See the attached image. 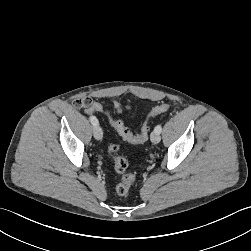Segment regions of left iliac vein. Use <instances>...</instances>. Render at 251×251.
I'll return each instance as SVG.
<instances>
[{
	"mask_svg": "<svg viewBox=\"0 0 251 251\" xmlns=\"http://www.w3.org/2000/svg\"><path fill=\"white\" fill-rule=\"evenodd\" d=\"M161 140V136H160V133L156 132V131H153L152 134H151V141L154 143V144H157L159 143Z\"/></svg>",
	"mask_w": 251,
	"mask_h": 251,
	"instance_id": "obj_1",
	"label": "left iliac vein"
}]
</instances>
